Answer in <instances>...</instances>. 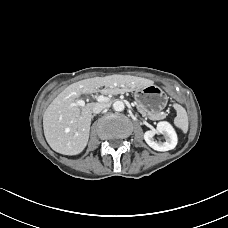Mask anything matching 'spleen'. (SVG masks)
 Listing matches in <instances>:
<instances>
[{"mask_svg": "<svg viewBox=\"0 0 228 228\" xmlns=\"http://www.w3.org/2000/svg\"><path fill=\"white\" fill-rule=\"evenodd\" d=\"M174 109L177 112V116L174 119L176 127L181 129L184 133L188 131V116L186 110L179 104H174Z\"/></svg>", "mask_w": 228, "mask_h": 228, "instance_id": "1", "label": "spleen"}]
</instances>
